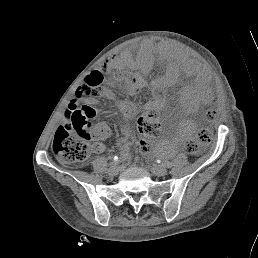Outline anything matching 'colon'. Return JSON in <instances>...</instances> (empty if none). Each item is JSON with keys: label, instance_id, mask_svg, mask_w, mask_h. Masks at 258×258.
Returning a JSON list of instances; mask_svg holds the SVG:
<instances>
[{"label": "colon", "instance_id": "colon-1", "mask_svg": "<svg viewBox=\"0 0 258 258\" xmlns=\"http://www.w3.org/2000/svg\"><path fill=\"white\" fill-rule=\"evenodd\" d=\"M101 75L97 72L90 73L85 81L87 85H94L100 82ZM83 92L79 91V95ZM90 117L85 108L78 109L75 105L71 107L69 120L60 127L55 134L52 144L54 154L63 163L81 162L89 155L90 139L96 135V128L90 127L87 119ZM210 139L206 130L201 129L194 137L185 143L187 152L194 154Z\"/></svg>", "mask_w": 258, "mask_h": 258}]
</instances>
